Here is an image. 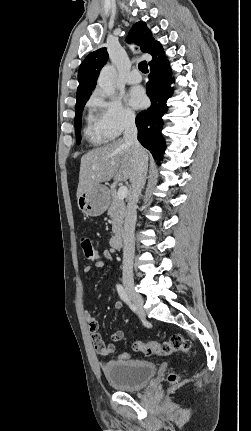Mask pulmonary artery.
<instances>
[{
	"mask_svg": "<svg viewBox=\"0 0 251 431\" xmlns=\"http://www.w3.org/2000/svg\"><path fill=\"white\" fill-rule=\"evenodd\" d=\"M125 81L128 84H137L141 81V75L137 70H132L126 75Z\"/></svg>",
	"mask_w": 251,
	"mask_h": 431,
	"instance_id": "obj_1",
	"label": "pulmonary artery"
}]
</instances>
